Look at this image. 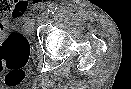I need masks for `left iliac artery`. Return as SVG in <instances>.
Masks as SVG:
<instances>
[{
    "instance_id": "44dca946",
    "label": "left iliac artery",
    "mask_w": 131,
    "mask_h": 89,
    "mask_svg": "<svg viewBox=\"0 0 131 89\" xmlns=\"http://www.w3.org/2000/svg\"><path fill=\"white\" fill-rule=\"evenodd\" d=\"M58 7L55 4H50L48 6V12L51 14H54L57 11Z\"/></svg>"
}]
</instances>
